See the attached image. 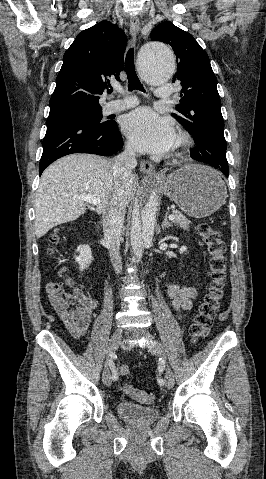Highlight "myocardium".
Returning a JSON list of instances; mask_svg holds the SVG:
<instances>
[{"label": "myocardium", "instance_id": "myocardium-1", "mask_svg": "<svg viewBox=\"0 0 266 479\" xmlns=\"http://www.w3.org/2000/svg\"><path fill=\"white\" fill-rule=\"evenodd\" d=\"M192 144V138L190 137L189 134L185 132H180L177 134L174 142V151L175 152H180L187 150Z\"/></svg>", "mask_w": 266, "mask_h": 479}]
</instances>
